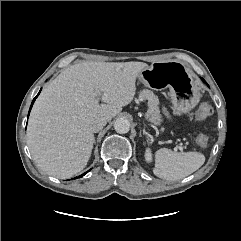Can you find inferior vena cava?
I'll use <instances>...</instances> for the list:
<instances>
[{
  "label": "inferior vena cava",
  "instance_id": "602c4592",
  "mask_svg": "<svg viewBox=\"0 0 241 241\" xmlns=\"http://www.w3.org/2000/svg\"><path fill=\"white\" fill-rule=\"evenodd\" d=\"M107 122L108 120L105 117L97 118L93 121L91 125V130L94 133L99 132L107 124Z\"/></svg>",
  "mask_w": 241,
  "mask_h": 241
}]
</instances>
